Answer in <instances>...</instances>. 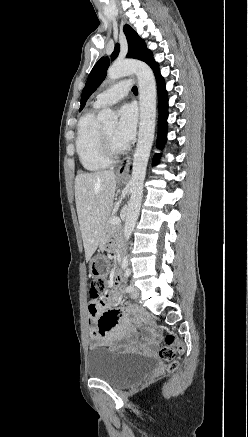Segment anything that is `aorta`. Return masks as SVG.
<instances>
[{
  "label": "aorta",
  "mask_w": 248,
  "mask_h": 437,
  "mask_svg": "<svg viewBox=\"0 0 248 437\" xmlns=\"http://www.w3.org/2000/svg\"><path fill=\"white\" fill-rule=\"evenodd\" d=\"M131 74H135L138 78L140 123L130 180L131 197L124 226L126 241L131 237L139 217L143 197V183L155 134L157 95L153 72L147 64L141 61L125 60L116 62L107 71V77L110 81ZM98 119L104 124L114 125L117 122V115L110 109H104L99 113Z\"/></svg>",
  "instance_id": "aorta-1"
}]
</instances>
